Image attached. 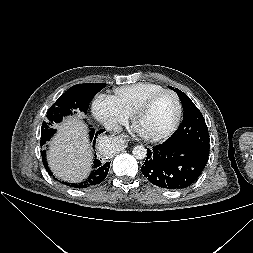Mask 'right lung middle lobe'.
Returning <instances> with one entry per match:
<instances>
[{"instance_id": "dd1d6c3e", "label": "right lung middle lobe", "mask_w": 253, "mask_h": 253, "mask_svg": "<svg viewBox=\"0 0 253 253\" xmlns=\"http://www.w3.org/2000/svg\"><path fill=\"white\" fill-rule=\"evenodd\" d=\"M106 84H77L63 93L49 108L47 119L42 123L41 144L44 145L55 133L53 124L58 123L63 117L72 115L75 109L85 114L92 98L102 90Z\"/></svg>"}]
</instances>
